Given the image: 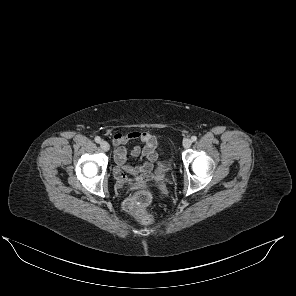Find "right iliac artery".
<instances>
[{"mask_svg":"<svg viewBox=\"0 0 296 296\" xmlns=\"http://www.w3.org/2000/svg\"><path fill=\"white\" fill-rule=\"evenodd\" d=\"M100 141H101V138L99 136H96L95 137V142L100 143Z\"/></svg>","mask_w":296,"mask_h":296,"instance_id":"1","label":"right iliac artery"}]
</instances>
